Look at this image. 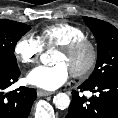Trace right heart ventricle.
<instances>
[{"label":"right heart ventricle","mask_w":118,"mask_h":118,"mask_svg":"<svg viewBox=\"0 0 118 118\" xmlns=\"http://www.w3.org/2000/svg\"><path fill=\"white\" fill-rule=\"evenodd\" d=\"M85 37L84 30L74 24L57 22L41 29L38 39L45 48H55Z\"/></svg>","instance_id":"e07e8e85"}]
</instances>
